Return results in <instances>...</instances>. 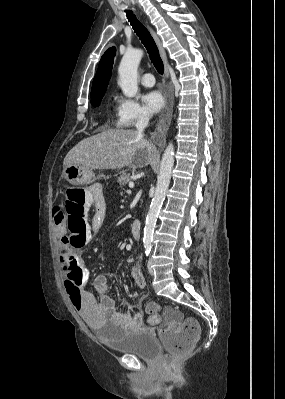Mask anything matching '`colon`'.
I'll use <instances>...</instances> for the list:
<instances>
[{
  "instance_id": "5ec220e1",
  "label": "colon",
  "mask_w": 285,
  "mask_h": 399,
  "mask_svg": "<svg viewBox=\"0 0 285 399\" xmlns=\"http://www.w3.org/2000/svg\"><path fill=\"white\" fill-rule=\"evenodd\" d=\"M84 192L69 190L64 195L60 206L63 208V217L69 232L67 244L61 249L60 258L64 269L69 273L65 287L75 306L82 301L83 288L80 282L73 280L71 270L76 267L77 251L87 245L92 238L86 215L82 210ZM148 312L158 311L157 305H149ZM162 338L166 345L163 356L164 364L170 367L177 358L188 354L200 335L199 325L192 320L183 321L179 317L173 319L165 329L161 330Z\"/></svg>"
}]
</instances>
